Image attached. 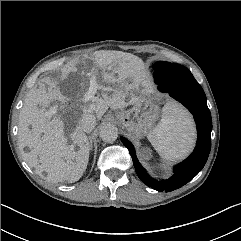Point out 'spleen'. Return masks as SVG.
I'll use <instances>...</instances> for the list:
<instances>
[{"mask_svg":"<svg viewBox=\"0 0 241 241\" xmlns=\"http://www.w3.org/2000/svg\"><path fill=\"white\" fill-rule=\"evenodd\" d=\"M148 140L165 159H183L193 148L195 126L190 114L178 103L168 102L161 121L148 133Z\"/></svg>","mask_w":241,"mask_h":241,"instance_id":"3e777b00","label":"spleen"}]
</instances>
